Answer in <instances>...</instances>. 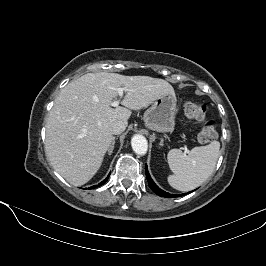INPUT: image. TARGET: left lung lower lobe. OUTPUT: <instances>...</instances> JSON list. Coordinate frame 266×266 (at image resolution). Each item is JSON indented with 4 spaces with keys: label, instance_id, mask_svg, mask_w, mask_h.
<instances>
[{
    "label": "left lung lower lobe",
    "instance_id": "left-lung-lower-lobe-1",
    "mask_svg": "<svg viewBox=\"0 0 266 266\" xmlns=\"http://www.w3.org/2000/svg\"><path fill=\"white\" fill-rule=\"evenodd\" d=\"M145 172H146V177H147V181H148V185L151 188L152 191H154L157 195L161 196V197H167V198H174V197H178V196H184L186 195V193L184 194H180V195H176V194H170L168 192H165L164 190L160 189L155 183L154 181L151 179V176L148 172L147 169V165L145 166ZM190 193V192H189Z\"/></svg>",
    "mask_w": 266,
    "mask_h": 266
}]
</instances>
